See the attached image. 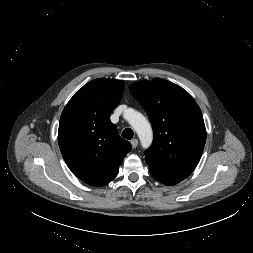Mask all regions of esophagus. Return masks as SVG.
<instances>
[{"mask_svg": "<svg viewBox=\"0 0 253 253\" xmlns=\"http://www.w3.org/2000/svg\"><path fill=\"white\" fill-rule=\"evenodd\" d=\"M130 142H131L132 148L137 147V145H138V140L137 139H132Z\"/></svg>", "mask_w": 253, "mask_h": 253, "instance_id": "obj_1", "label": "esophagus"}]
</instances>
